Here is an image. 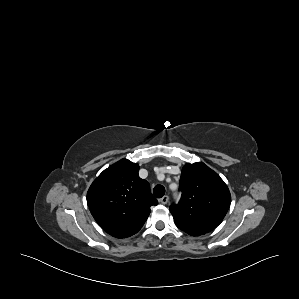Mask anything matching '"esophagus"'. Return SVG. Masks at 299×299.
<instances>
[{
	"label": "esophagus",
	"instance_id": "34e87169",
	"mask_svg": "<svg viewBox=\"0 0 299 299\" xmlns=\"http://www.w3.org/2000/svg\"><path fill=\"white\" fill-rule=\"evenodd\" d=\"M168 201H169V196H167V195L163 196V197L160 199V202H161L162 204H167Z\"/></svg>",
	"mask_w": 299,
	"mask_h": 299
}]
</instances>
